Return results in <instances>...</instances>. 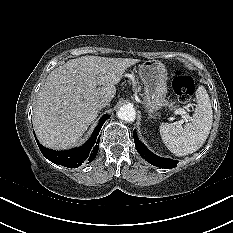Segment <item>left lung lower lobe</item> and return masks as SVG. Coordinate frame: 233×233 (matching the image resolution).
<instances>
[{"mask_svg":"<svg viewBox=\"0 0 233 233\" xmlns=\"http://www.w3.org/2000/svg\"><path fill=\"white\" fill-rule=\"evenodd\" d=\"M134 142L138 153L150 164L154 166H158L160 168L171 169L175 168L178 161L169 159V158H161L153 154L139 139L136 134V131L133 133Z\"/></svg>","mask_w":233,"mask_h":233,"instance_id":"left-lung-lower-lobe-1","label":"left lung lower lobe"}]
</instances>
